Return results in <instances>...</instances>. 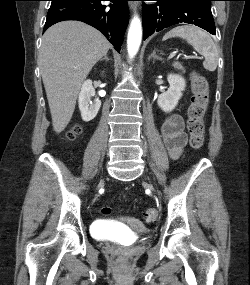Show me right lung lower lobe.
Segmentation results:
<instances>
[{
    "label": "right lung lower lobe",
    "instance_id": "right-lung-lower-lobe-1",
    "mask_svg": "<svg viewBox=\"0 0 250 285\" xmlns=\"http://www.w3.org/2000/svg\"><path fill=\"white\" fill-rule=\"evenodd\" d=\"M102 1L66 0L51 4L43 31L60 21H82L103 33L119 52L129 20V0H108L112 3L109 6L103 5Z\"/></svg>",
    "mask_w": 250,
    "mask_h": 285
}]
</instances>
